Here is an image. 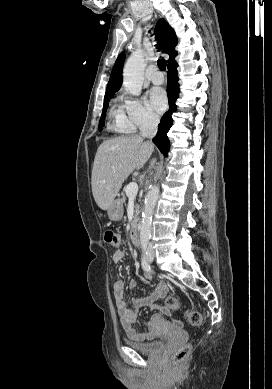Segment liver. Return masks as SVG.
<instances>
[{
  "instance_id": "1",
  "label": "liver",
  "mask_w": 272,
  "mask_h": 389,
  "mask_svg": "<svg viewBox=\"0 0 272 389\" xmlns=\"http://www.w3.org/2000/svg\"><path fill=\"white\" fill-rule=\"evenodd\" d=\"M154 145L140 135L122 136L104 141L97 149L92 168V193L102 210H108L125 179L144 166Z\"/></svg>"
}]
</instances>
